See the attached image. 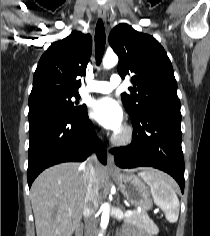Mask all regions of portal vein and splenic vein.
<instances>
[{"instance_id": "1", "label": "portal vein and splenic vein", "mask_w": 210, "mask_h": 236, "mask_svg": "<svg viewBox=\"0 0 210 236\" xmlns=\"http://www.w3.org/2000/svg\"><path fill=\"white\" fill-rule=\"evenodd\" d=\"M133 214V211L132 210H127L126 212H125V216L126 217H128V216H130V215H132Z\"/></svg>"}]
</instances>
